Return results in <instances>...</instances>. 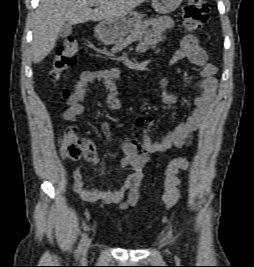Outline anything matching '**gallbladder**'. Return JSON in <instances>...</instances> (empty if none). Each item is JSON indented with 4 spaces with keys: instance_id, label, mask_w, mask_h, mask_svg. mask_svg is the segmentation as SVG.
I'll list each match as a JSON object with an SVG mask.
<instances>
[{
    "instance_id": "gallbladder-1",
    "label": "gallbladder",
    "mask_w": 254,
    "mask_h": 267,
    "mask_svg": "<svg viewBox=\"0 0 254 267\" xmlns=\"http://www.w3.org/2000/svg\"><path fill=\"white\" fill-rule=\"evenodd\" d=\"M72 33V26L70 24H64L59 32L60 37L66 38Z\"/></svg>"
}]
</instances>
